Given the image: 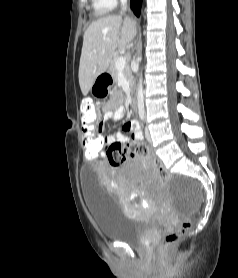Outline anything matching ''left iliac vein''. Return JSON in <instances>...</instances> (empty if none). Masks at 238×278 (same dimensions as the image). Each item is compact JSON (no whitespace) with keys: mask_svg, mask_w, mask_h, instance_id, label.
I'll return each instance as SVG.
<instances>
[{"mask_svg":"<svg viewBox=\"0 0 238 278\" xmlns=\"http://www.w3.org/2000/svg\"><path fill=\"white\" fill-rule=\"evenodd\" d=\"M145 136L149 142H151V135L148 127L145 128Z\"/></svg>","mask_w":238,"mask_h":278,"instance_id":"obj_1","label":"left iliac vein"}]
</instances>
